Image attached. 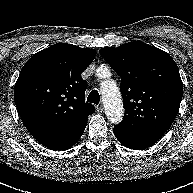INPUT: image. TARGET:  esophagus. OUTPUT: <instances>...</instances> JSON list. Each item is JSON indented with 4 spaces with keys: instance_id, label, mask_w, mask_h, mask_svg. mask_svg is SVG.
Instances as JSON below:
<instances>
[{
    "instance_id": "34e87169",
    "label": "esophagus",
    "mask_w": 193,
    "mask_h": 193,
    "mask_svg": "<svg viewBox=\"0 0 193 193\" xmlns=\"http://www.w3.org/2000/svg\"><path fill=\"white\" fill-rule=\"evenodd\" d=\"M103 109H104V108H103V105H102V104L96 106V110H97L98 112H102Z\"/></svg>"
}]
</instances>
